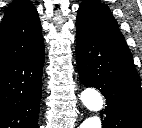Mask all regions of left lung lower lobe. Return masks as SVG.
<instances>
[{
	"label": "left lung lower lobe",
	"instance_id": "0a47b994",
	"mask_svg": "<svg viewBox=\"0 0 142 128\" xmlns=\"http://www.w3.org/2000/svg\"><path fill=\"white\" fill-rule=\"evenodd\" d=\"M76 59L83 85L106 98L103 128H142V90L127 44L102 38L76 25Z\"/></svg>",
	"mask_w": 142,
	"mask_h": 128
}]
</instances>
